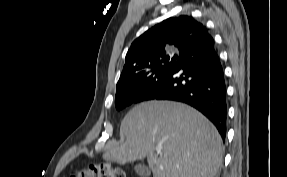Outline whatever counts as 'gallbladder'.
Masks as SVG:
<instances>
[{"label":"gallbladder","instance_id":"gallbladder-1","mask_svg":"<svg viewBox=\"0 0 287 177\" xmlns=\"http://www.w3.org/2000/svg\"><path fill=\"white\" fill-rule=\"evenodd\" d=\"M134 169L135 172L141 176H148L150 174L149 169L143 164L136 165Z\"/></svg>","mask_w":287,"mask_h":177}]
</instances>
